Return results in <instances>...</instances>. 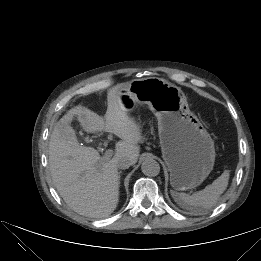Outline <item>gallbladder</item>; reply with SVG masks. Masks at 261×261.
I'll list each match as a JSON object with an SVG mask.
<instances>
[{
	"instance_id": "bac80fb5",
	"label": "gallbladder",
	"mask_w": 261,
	"mask_h": 261,
	"mask_svg": "<svg viewBox=\"0 0 261 261\" xmlns=\"http://www.w3.org/2000/svg\"><path fill=\"white\" fill-rule=\"evenodd\" d=\"M69 135L75 137V131L72 128H69Z\"/></svg>"
}]
</instances>
